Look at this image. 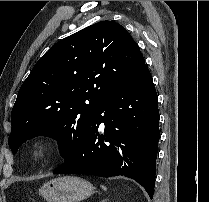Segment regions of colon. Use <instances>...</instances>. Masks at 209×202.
I'll list each match as a JSON object with an SVG mask.
<instances>
[{
  "label": "colon",
  "mask_w": 209,
  "mask_h": 202,
  "mask_svg": "<svg viewBox=\"0 0 209 202\" xmlns=\"http://www.w3.org/2000/svg\"><path fill=\"white\" fill-rule=\"evenodd\" d=\"M19 202H27V201H19Z\"/></svg>",
  "instance_id": "1"
}]
</instances>
